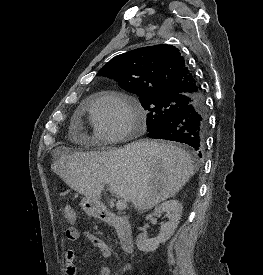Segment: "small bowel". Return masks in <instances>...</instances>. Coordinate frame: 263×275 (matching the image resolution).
<instances>
[{
  "label": "small bowel",
  "mask_w": 263,
  "mask_h": 275,
  "mask_svg": "<svg viewBox=\"0 0 263 275\" xmlns=\"http://www.w3.org/2000/svg\"><path fill=\"white\" fill-rule=\"evenodd\" d=\"M66 237L71 241L85 239L92 246L97 248L104 257H110L112 254L111 248L106 244V242L90 232L81 233L75 227H70L66 231ZM74 259V250L67 249L64 254V271L66 275H77V268L74 264ZM98 275H110V268L108 266H102Z\"/></svg>",
  "instance_id": "1"
}]
</instances>
